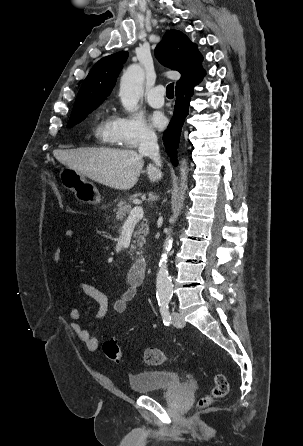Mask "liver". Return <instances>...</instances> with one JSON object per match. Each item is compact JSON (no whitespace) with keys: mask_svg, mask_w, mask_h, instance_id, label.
Returning <instances> with one entry per match:
<instances>
[{"mask_svg":"<svg viewBox=\"0 0 303 446\" xmlns=\"http://www.w3.org/2000/svg\"><path fill=\"white\" fill-rule=\"evenodd\" d=\"M53 154L60 163L91 180L119 190L131 189L144 166L143 155L134 150L80 148L55 150ZM147 175L154 182L162 174L150 163Z\"/></svg>","mask_w":303,"mask_h":446,"instance_id":"6515ba94","label":"liver"}]
</instances>
